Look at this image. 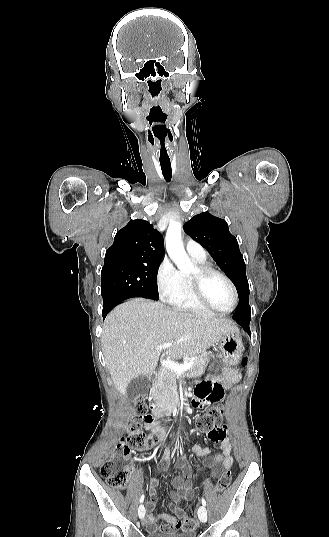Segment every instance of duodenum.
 I'll list each match as a JSON object with an SVG mask.
<instances>
[{
    "label": "duodenum",
    "mask_w": 329,
    "mask_h": 537,
    "mask_svg": "<svg viewBox=\"0 0 329 537\" xmlns=\"http://www.w3.org/2000/svg\"><path fill=\"white\" fill-rule=\"evenodd\" d=\"M186 400V397L183 396L181 401ZM180 401L178 402H168L159 398H154L150 404V412L155 418L163 417L170 415L179 407Z\"/></svg>",
    "instance_id": "obj_1"
}]
</instances>
